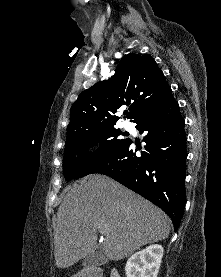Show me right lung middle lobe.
Wrapping results in <instances>:
<instances>
[{"mask_svg":"<svg viewBox=\"0 0 221 277\" xmlns=\"http://www.w3.org/2000/svg\"><path fill=\"white\" fill-rule=\"evenodd\" d=\"M121 131L114 125L101 126L82 131L66 140L63 172L65 179H78L92 173L99 163L111 156L128 139H118ZM100 143L92 154L89 148Z\"/></svg>","mask_w":221,"mask_h":277,"instance_id":"right-lung-middle-lobe-1","label":"right lung middle lobe"}]
</instances>
